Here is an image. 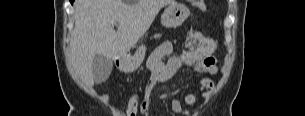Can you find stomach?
Returning <instances> with one entry per match:
<instances>
[{
	"label": "stomach",
	"mask_w": 305,
	"mask_h": 116,
	"mask_svg": "<svg viewBox=\"0 0 305 116\" xmlns=\"http://www.w3.org/2000/svg\"><path fill=\"white\" fill-rule=\"evenodd\" d=\"M190 15L189 9L181 4L174 2L170 4L161 16V23L167 28H176L180 26ZM146 46L140 45L134 54L121 58L118 68L126 73L137 70L145 59Z\"/></svg>",
	"instance_id": "0dacf381"
}]
</instances>
